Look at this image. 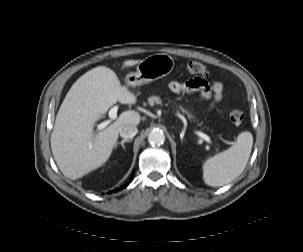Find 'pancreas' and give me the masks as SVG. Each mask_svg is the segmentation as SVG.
<instances>
[{
	"mask_svg": "<svg viewBox=\"0 0 303 252\" xmlns=\"http://www.w3.org/2000/svg\"><path fill=\"white\" fill-rule=\"evenodd\" d=\"M147 101H148V104L151 106H153L155 104L162 105V99L160 98V96L152 95V96L148 97ZM179 108L182 111V113H184L188 116L189 119L192 118V115L187 110H185L182 106H179Z\"/></svg>",
	"mask_w": 303,
	"mask_h": 252,
	"instance_id": "obj_1",
	"label": "pancreas"
}]
</instances>
